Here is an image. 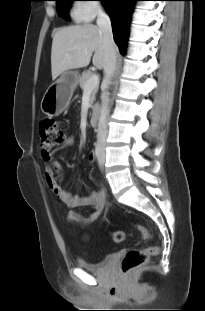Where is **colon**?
Listing matches in <instances>:
<instances>
[{
  "mask_svg": "<svg viewBox=\"0 0 205 311\" xmlns=\"http://www.w3.org/2000/svg\"><path fill=\"white\" fill-rule=\"evenodd\" d=\"M40 149L43 158H50L51 151L64 143L66 134L63 126L54 120H45L40 125ZM142 238L147 239L150 233L147 228L137 226ZM112 238L115 242L120 243L124 240V233L121 231L114 232ZM158 253V247L151 246L146 249H130L121 261V271L128 273L133 269L145 264L151 256Z\"/></svg>",
  "mask_w": 205,
  "mask_h": 311,
  "instance_id": "colon-1",
  "label": "colon"
}]
</instances>
